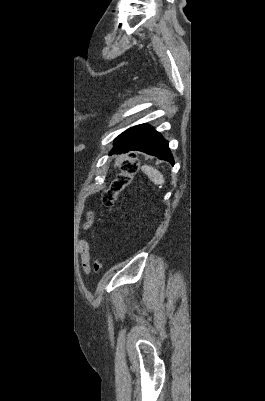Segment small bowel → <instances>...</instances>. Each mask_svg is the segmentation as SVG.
I'll return each mask as SVG.
<instances>
[{
    "instance_id": "1",
    "label": "small bowel",
    "mask_w": 265,
    "mask_h": 401,
    "mask_svg": "<svg viewBox=\"0 0 265 401\" xmlns=\"http://www.w3.org/2000/svg\"><path fill=\"white\" fill-rule=\"evenodd\" d=\"M93 221V213L89 212L87 217L86 227H88ZM80 255L83 269L89 271L90 269V246L87 242H83L80 246Z\"/></svg>"
}]
</instances>
